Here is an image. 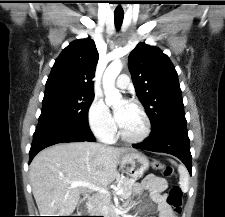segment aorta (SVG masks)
Masks as SVG:
<instances>
[{
	"instance_id": "1",
	"label": "aorta",
	"mask_w": 225,
	"mask_h": 217,
	"mask_svg": "<svg viewBox=\"0 0 225 217\" xmlns=\"http://www.w3.org/2000/svg\"><path fill=\"white\" fill-rule=\"evenodd\" d=\"M123 64L120 60H114L106 68L103 75V90L105 94V102L108 106H115L120 104L122 95L115 87V80L120 74Z\"/></svg>"
}]
</instances>
